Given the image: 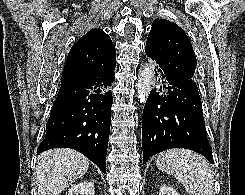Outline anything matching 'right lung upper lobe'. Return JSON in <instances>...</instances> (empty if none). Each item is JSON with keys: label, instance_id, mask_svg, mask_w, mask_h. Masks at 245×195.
Masks as SVG:
<instances>
[{"label": "right lung upper lobe", "instance_id": "cb5924a9", "mask_svg": "<svg viewBox=\"0 0 245 195\" xmlns=\"http://www.w3.org/2000/svg\"><path fill=\"white\" fill-rule=\"evenodd\" d=\"M116 67V51L102 29H92L71 48L61 83L94 77L97 71L111 72Z\"/></svg>", "mask_w": 245, "mask_h": 195}]
</instances>
